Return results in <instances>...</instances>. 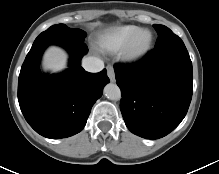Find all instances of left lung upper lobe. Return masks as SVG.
<instances>
[{"label": "left lung upper lobe", "instance_id": "5c2ea615", "mask_svg": "<svg viewBox=\"0 0 219 174\" xmlns=\"http://www.w3.org/2000/svg\"><path fill=\"white\" fill-rule=\"evenodd\" d=\"M153 27L158 33V39L155 44V48H160L168 45H184L183 41L168 27L160 24H154Z\"/></svg>", "mask_w": 219, "mask_h": 174}]
</instances>
